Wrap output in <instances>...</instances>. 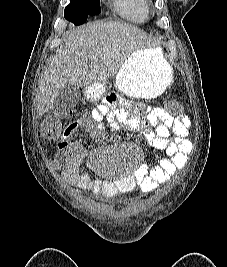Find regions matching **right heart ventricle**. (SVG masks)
<instances>
[{
	"instance_id": "obj_1",
	"label": "right heart ventricle",
	"mask_w": 227,
	"mask_h": 267,
	"mask_svg": "<svg viewBox=\"0 0 227 267\" xmlns=\"http://www.w3.org/2000/svg\"><path fill=\"white\" fill-rule=\"evenodd\" d=\"M112 7L119 16L134 22L143 21L149 13L147 0H112Z\"/></svg>"
}]
</instances>
